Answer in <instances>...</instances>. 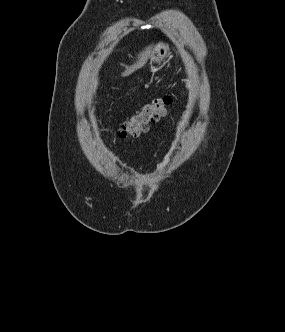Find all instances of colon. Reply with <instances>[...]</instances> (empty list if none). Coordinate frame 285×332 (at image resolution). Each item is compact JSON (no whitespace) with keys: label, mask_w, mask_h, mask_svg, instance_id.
<instances>
[{"label":"colon","mask_w":285,"mask_h":332,"mask_svg":"<svg viewBox=\"0 0 285 332\" xmlns=\"http://www.w3.org/2000/svg\"><path fill=\"white\" fill-rule=\"evenodd\" d=\"M172 97L164 96L146 104L140 112L125 121L118 131L120 139L136 137L145 132L150 123L159 121L165 116ZM160 118L159 120L157 118Z\"/></svg>","instance_id":"colon-1"}]
</instances>
